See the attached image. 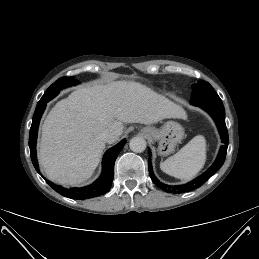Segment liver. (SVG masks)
Here are the masks:
<instances>
[{"instance_id":"liver-1","label":"liver","mask_w":259,"mask_h":259,"mask_svg":"<svg viewBox=\"0 0 259 259\" xmlns=\"http://www.w3.org/2000/svg\"><path fill=\"white\" fill-rule=\"evenodd\" d=\"M182 107L150 88L116 81L79 88L52 108L42 125L39 163L53 182L76 185L89 179L107 143L116 142L123 123L154 124L165 118H185Z\"/></svg>"}]
</instances>
